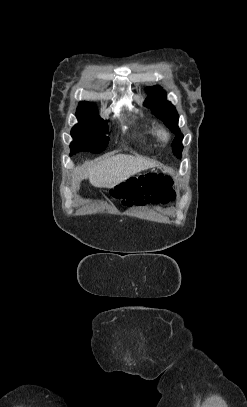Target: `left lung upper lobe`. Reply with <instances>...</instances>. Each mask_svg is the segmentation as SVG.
Listing matches in <instances>:
<instances>
[{
  "label": "left lung upper lobe",
  "instance_id": "5c2ea615",
  "mask_svg": "<svg viewBox=\"0 0 247 407\" xmlns=\"http://www.w3.org/2000/svg\"><path fill=\"white\" fill-rule=\"evenodd\" d=\"M148 93L149 98L144 102V105L150 107L152 113L162 120L171 132L176 134L172 143V150L177 158H181L183 134L178 127L179 115L175 107L169 101H166V93L159 86L149 89Z\"/></svg>",
  "mask_w": 247,
  "mask_h": 407
}]
</instances>
